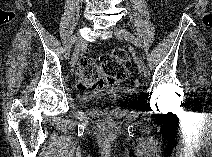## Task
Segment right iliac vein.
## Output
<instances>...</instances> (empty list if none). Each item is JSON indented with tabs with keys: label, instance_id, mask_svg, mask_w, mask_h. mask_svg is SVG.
<instances>
[{
	"label": "right iliac vein",
	"instance_id": "right-iliac-vein-1",
	"mask_svg": "<svg viewBox=\"0 0 212 157\" xmlns=\"http://www.w3.org/2000/svg\"><path fill=\"white\" fill-rule=\"evenodd\" d=\"M75 38V48H74V52L73 55L71 57V66L74 67L76 65L77 59H78V55H79V51L82 45V38L79 35L74 36Z\"/></svg>",
	"mask_w": 212,
	"mask_h": 157
}]
</instances>
